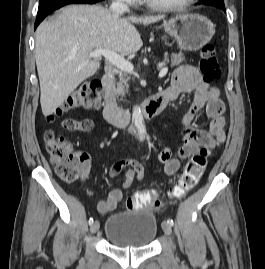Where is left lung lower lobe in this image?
Here are the masks:
<instances>
[{"instance_id":"0a47b994","label":"left lung lower lobe","mask_w":265,"mask_h":269,"mask_svg":"<svg viewBox=\"0 0 265 269\" xmlns=\"http://www.w3.org/2000/svg\"><path fill=\"white\" fill-rule=\"evenodd\" d=\"M202 4L209 5V6H214V7L220 8L223 11H225L224 3H219V2H216V1H208V2H205V3H202Z\"/></svg>"}]
</instances>
